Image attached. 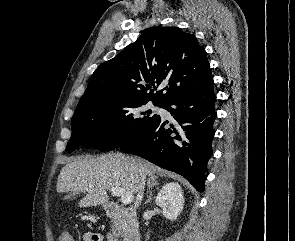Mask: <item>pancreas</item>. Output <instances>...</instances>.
I'll return each mask as SVG.
<instances>
[{
  "label": "pancreas",
  "mask_w": 295,
  "mask_h": 241,
  "mask_svg": "<svg viewBox=\"0 0 295 241\" xmlns=\"http://www.w3.org/2000/svg\"><path fill=\"white\" fill-rule=\"evenodd\" d=\"M126 221L125 220H116L112 225V233L115 235H122L126 232Z\"/></svg>",
  "instance_id": "cf45deb5"
}]
</instances>
